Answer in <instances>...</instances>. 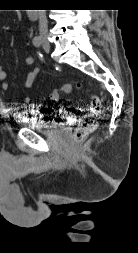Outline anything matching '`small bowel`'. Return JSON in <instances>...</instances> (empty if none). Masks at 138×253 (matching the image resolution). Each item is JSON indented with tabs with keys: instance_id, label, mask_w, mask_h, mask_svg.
I'll use <instances>...</instances> for the list:
<instances>
[{
	"instance_id": "c3829d8e",
	"label": "small bowel",
	"mask_w": 138,
	"mask_h": 253,
	"mask_svg": "<svg viewBox=\"0 0 138 253\" xmlns=\"http://www.w3.org/2000/svg\"><path fill=\"white\" fill-rule=\"evenodd\" d=\"M25 63L27 65H32L34 63V59L30 56L25 58ZM40 69L38 67L31 70L25 80L24 83V89H30L34 83L36 82L38 75H39ZM0 84L3 90L7 91L9 89V84L7 82V75L6 72L2 69L0 66ZM30 104V98L24 97L19 102L16 103L18 106H25Z\"/></svg>"
}]
</instances>
